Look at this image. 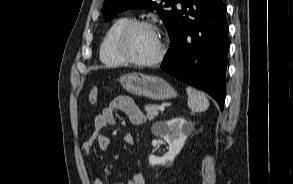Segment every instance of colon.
I'll use <instances>...</instances> for the list:
<instances>
[{
	"instance_id": "1",
	"label": "colon",
	"mask_w": 293,
	"mask_h": 184,
	"mask_svg": "<svg viewBox=\"0 0 293 184\" xmlns=\"http://www.w3.org/2000/svg\"><path fill=\"white\" fill-rule=\"evenodd\" d=\"M98 87L97 86H94L92 87V89L90 90L89 92V103L91 105H95L96 102H97V98H98Z\"/></svg>"
}]
</instances>
